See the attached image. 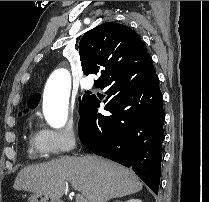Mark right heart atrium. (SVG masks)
Returning a JSON list of instances; mask_svg holds the SVG:
<instances>
[{"mask_svg":"<svg viewBox=\"0 0 209 202\" xmlns=\"http://www.w3.org/2000/svg\"><path fill=\"white\" fill-rule=\"evenodd\" d=\"M38 138L41 147L48 154L62 155L75 148L77 144V129L71 122L59 129L43 127L38 133Z\"/></svg>","mask_w":209,"mask_h":202,"instance_id":"d8ad5b80","label":"right heart atrium"}]
</instances>
